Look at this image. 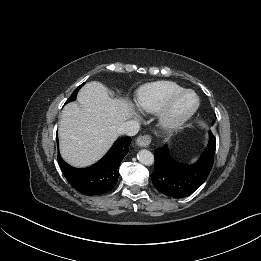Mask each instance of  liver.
<instances>
[{
  "label": "liver",
  "mask_w": 261,
  "mask_h": 261,
  "mask_svg": "<svg viewBox=\"0 0 261 261\" xmlns=\"http://www.w3.org/2000/svg\"><path fill=\"white\" fill-rule=\"evenodd\" d=\"M77 103L67 104L59 122L60 153L77 167L98 161L117 139L120 126L132 115L126 100L112 99L103 84L86 83Z\"/></svg>",
  "instance_id": "1"
}]
</instances>
